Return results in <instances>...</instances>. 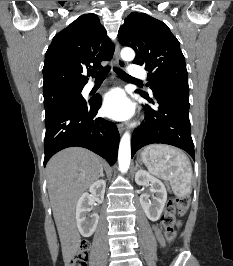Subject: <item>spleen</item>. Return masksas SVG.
<instances>
[{
    "label": "spleen",
    "mask_w": 233,
    "mask_h": 266,
    "mask_svg": "<svg viewBox=\"0 0 233 266\" xmlns=\"http://www.w3.org/2000/svg\"><path fill=\"white\" fill-rule=\"evenodd\" d=\"M141 157L150 173L170 183L175 195L184 197L191 193L192 167L182 151L168 145L155 144L145 147Z\"/></svg>",
    "instance_id": "1"
}]
</instances>
